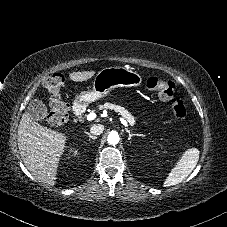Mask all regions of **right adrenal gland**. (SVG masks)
Segmentation results:
<instances>
[{"instance_id":"obj_1","label":"right adrenal gland","mask_w":227,"mask_h":227,"mask_svg":"<svg viewBox=\"0 0 227 227\" xmlns=\"http://www.w3.org/2000/svg\"><path fill=\"white\" fill-rule=\"evenodd\" d=\"M88 136H89V138H91V139H93V140H95L97 137L96 136H93V135H91L90 133H88V132H85Z\"/></svg>"}]
</instances>
